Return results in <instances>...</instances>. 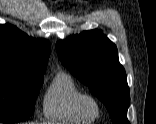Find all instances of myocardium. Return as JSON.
I'll use <instances>...</instances> for the list:
<instances>
[{"label":"myocardium","mask_w":156,"mask_h":124,"mask_svg":"<svg viewBox=\"0 0 156 124\" xmlns=\"http://www.w3.org/2000/svg\"><path fill=\"white\" fill-rule=\"evenodd\" d=\"M91 104L96 108L95 114H91L89 111V105ZM78 107L83 115L87 117H98L102 109V104L94 95L83 93L78 99Z\"/></svg>","instance_id":"f54148a6"}]
</instances>
